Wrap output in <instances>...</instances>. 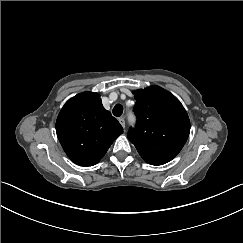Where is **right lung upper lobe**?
Listing matches in <instances>:
<instances>
[{
  "instance_id": "cb5924a9",
  "label": "right lung upper lobe",
  "mask_w": 243,
  "mask_h": 243,
  "mask_svg": "<svg viewBox=\"0 0 243 243\" xmlns=\"http://www.w3.org/2000/svg\"><path fill=\"white\" fill-rule=\"evenodd\" d=\"M56 132L65 153L75 164L93 166L123 133V128L104 109L98 93L83 92L63 106Z\"/></svg>"
}]
</instances>
